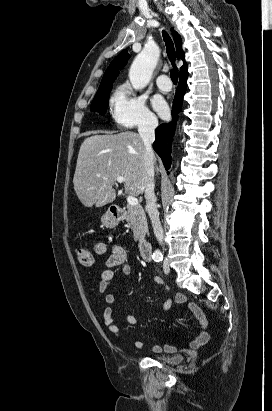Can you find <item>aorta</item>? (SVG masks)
<instances>
[{"instance_id": "aorta-1", "label": "aorta", "mask_w": 272, "mask_h": 411, "mask_svg": "<svg viewBox=\"0 0 272 411\" xmlns=\"http://www.w3.org/2000/svg\"><path fill=\"white\" fill-rule=\"evenodd\" d=\"M159 55L160 51L157 46H146L141 53L135 57L129 70V79L136 90L143 89L149 83L157 65ZM153 259H162V253L159 249L153 252Z\"/></svg>"}]
</instances>
